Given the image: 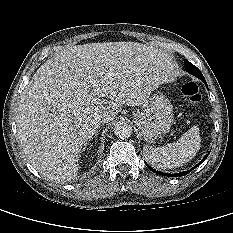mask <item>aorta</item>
<instances>
[{"instance_id": "762f6f07", "label": "aorta", "mask_w": 233, "mask_h": 233, "mask_svg": "<svg viewBox=\"0 0 233 233\" xmlns=\"http://www.w3.org/2000/svg\"><path fill=\"white\" fill-rule=\"evenodd\" d=\"M132 126L128 122L120 121L115 125L114 133L120 139H127L132 135Z\"/></svg>"}]
</instances>
